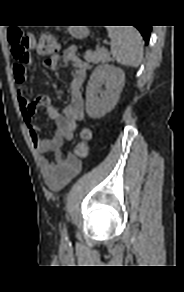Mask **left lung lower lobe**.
I'll use <instances>...</instances> for the list:
<instances>
[{"label":"left lung lower lobe","mask_w":184,"mask_h":292,"mask_svg":"<svg viewBox=\"0 0 184 292\" xmlns=\"http://www.w3.org/2000/svg\"><path fill=\"white\" fill-rule=\"evenodd\" d=\"M135 27L142 34V36H143V38L145 40V43L148 44L149 37H150L151 26L136 25Z\"/></svg>","instance_id":"obj_1"}]
</instances>
